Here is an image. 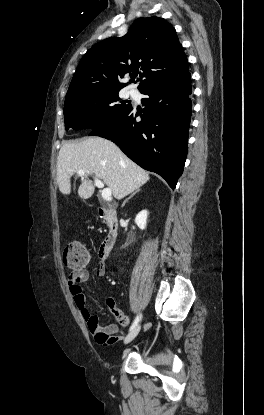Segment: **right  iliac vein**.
Listing matches in <instances>:
<instances>
[{
	"label": "right iliac vein",
	"mask_w": 264,
	"mask_h": 415,
	"mask_svg": "<svg viewBox=\"0 0 264 415\" xmlns=\"http://www.w3.org/2000/svg\"><path fill=\"white\" fill-rule=\"evenodd\" d=\"M141 325L136 326L131 332L126 336L124 343H130L139 333Z\"/></svg>",
	"instance_id": "1"
}]
</instances>
